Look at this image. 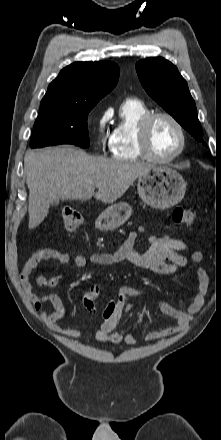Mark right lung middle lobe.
I'll use <instances>...</instances> for the list:
<instances>
[{"label":"right lung middle lobe","instance_id":"dd1d6c3e","mask_svg":"<svg viewBox=\"0 0 221 440\" xmlns=\"http://www.w3.org/2000/svg\"><path fill=\"white\" fill-rule=\"evenodd\" d=\"M93 104H66L45 101L35 121L30 141L31 148L57 144L89 147L88 113Z\"/></svg>","mask_w":221,"mask_h":440}]
</instances>
